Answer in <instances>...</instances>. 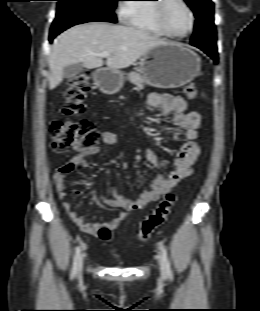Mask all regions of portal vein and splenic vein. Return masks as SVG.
Returning <instances> with one entry per match:
<instances>
[{"label":"portal vein and splenic vein","instance_id":"1","mask_svg":"<svg viewBox=\"0 0 260 311\" xmlns=\"http://www.w3.org/2000/svg\"><path fill=\"white\" fill-rule=\"evenodd\" d=\"M96 55L103 58V57H109L111 54L105 51V52L98 53Z\"/></svg>","mask_w":260,"mask_h":311}]
</instances>
